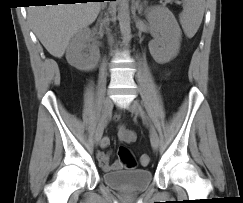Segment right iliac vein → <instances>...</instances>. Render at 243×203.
Segmentation results:
<instances>
[{
    "label": "right iliac vein",
    "mask_w": 243,
    "mask_h": 203,
    "mask_svg": "<svg viewBox=\"0 0 243 203\" xmlns=\"http://www.w3.org/2000/svg\"><path fill=\"white\" fill-rule=\"evenodd\" d=\"M112 107H113V101L109 96H107L104 99L101 121L98 125V128L95 133V137H94V141H95L96 145H98L101 140V137H102L103 131H104V126L111 113Z\"/></svg>",
    "instance_id": "63e3f726"
}]
</instances>
